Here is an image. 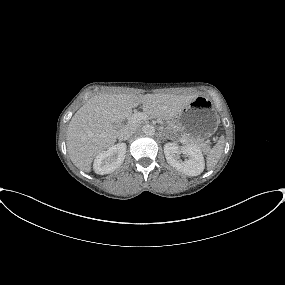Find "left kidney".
<instances>
[{
    "mask_svg": "<svg viewBox=\"0 0 285 285\" xmlns=\"http://www.w3.org/2000/svg\"><path fill=\"white\" fill-rule=\"evenodd\" d=\"M164 153L167 162L178 171L188 175L197 176L205 167L204 157L199 147L192 144L179 146L177 143H166ZM185 154L189 159L181 161L179 154Z\"/></svg>",
    "mask_w": 285,
    "mask_h": 285,
    "instance_id": "obj_1",
    "label": "left kidney"
}]
</instances>
